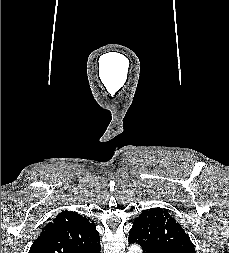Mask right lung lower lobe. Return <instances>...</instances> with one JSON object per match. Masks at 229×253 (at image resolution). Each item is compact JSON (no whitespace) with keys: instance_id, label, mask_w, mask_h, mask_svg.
I'll use <instances>...</instances> for the list:
<instances>
[{"instance_id":"1","label":"right lung lower lobe","mask_w":229,"mask_h":253,"mask_svg":"<svg viewBox=\"0 0 229 253\" xmlns=\"http://www.w3.org/2000/svg\"><path fill=\"white\" fill-rule=\"evenodd\" d=\"M100 250H101V247L99 244L96 247H94L93 249H90L89 251H87L86 253H100Z\"/></svg>"}]
</instances>
